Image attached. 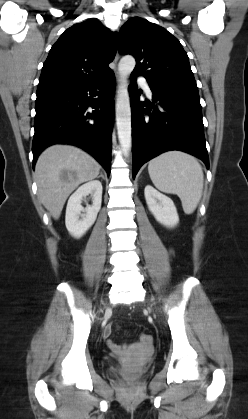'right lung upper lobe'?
I'll return each instance as SVG.
<instances>
[{
	"mask_svg": "<svg viewBox=\"0 0 248 419\" xmlns=\"http://www.w3.org/2000/svg\"><path fill=\"white\" fill-rule=\"evenodd\" d=\"M117 35L97 19L68 28L52 46L43 65L37 92L70 88L97 80L110 68Z\"/></svg>",
	"mask_w": 248,
	"mask_h": 419,
	"instance_id": "obj_1",
	"label": "right lung upper lobe"
}]
</instances>
